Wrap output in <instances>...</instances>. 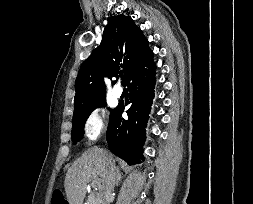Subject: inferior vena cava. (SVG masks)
Returning a JSON list of instances; mask_svg holds the SVG:
<instances>
[{
    "mask_svg": "<svg viewBox=\"0 0 253 204\" xmlns=\"http://www.w3.org/2000/svg\"><path fill=\"white\" fill-rule=\"evenodd\" d=\"M107 165L106 176L99 191L100 204H107L117 180L116 168L110 159L107 161Z\"/></svg>",
    "mask_w": 253,
    "mask_h": 204,
    "instance_id": "1",
    "label": "inferior vena cava"
}]
</instances>
